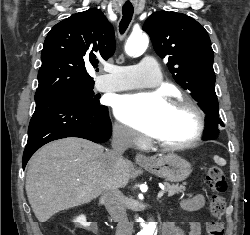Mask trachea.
<instances>
[{
  "mask_svg": "<svg viewBox=\"0 0 250 235\" xmlns=\"http://www.w3.org/2000/svg\"><path fill=\"white\" fill-rule=\"evenodd\" d=\"M133 12H134V8L132 5L123 6L122 8L123 16L119 24V31L121 34H123L128 28L133 17Z\"/></svg>",
  "mask_w": 250,
  "mask_h": 235,
  "instance_id": "trachea-1",
  "label": "trachea"
}]
</instances>
